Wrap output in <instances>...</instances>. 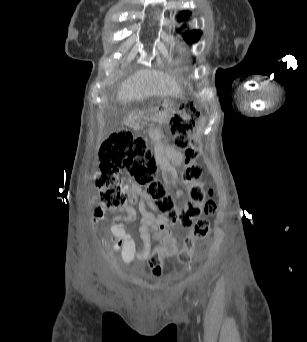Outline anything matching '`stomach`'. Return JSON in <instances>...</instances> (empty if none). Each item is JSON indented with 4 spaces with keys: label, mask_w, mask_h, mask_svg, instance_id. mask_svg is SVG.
Instances as JSON below:
<instances>
[{
    "label": "stomach",
    "mask_w": 307,
    "mask_h": 342,
    "mask_svg": "<svg viewBox=\"0 0 307 342\" xmlns=\"http://www.w3.org/2000/svg\"><path fill=\"white\" fill-rule=\"evenodd\" d=\"M175 104L164 100L158 107L148 111H138L129 117V124L135 130H140L146 125L153 126L167 123L175 113Z\"/></svg>",
    "instance_id": "1"
}]
</instances>
